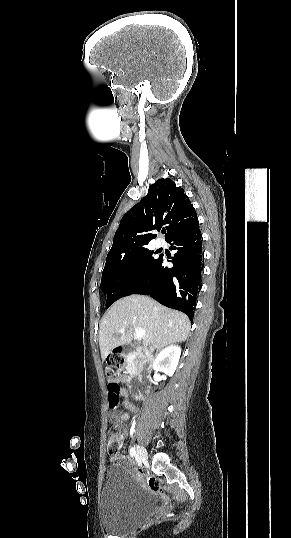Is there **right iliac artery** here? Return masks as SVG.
I'll return each instance as SVG.
<instances>
[{
    "label": "right iliac artery",
    "instance_id": "82829eb1",
    "mask_svg": "<svg viewBox=\"0 0 291 538\" xmlns=\"http://www.w3.org/2000/svg\"><path fill=\"white\" fill-rule=\"evenodd\" d=\"M130 456L131 457L136 456V451H135V448H133V447L130 448Z\"/></svg>",
    "mask_w": 291,
    "mask_h": 538
}]
</instances>
